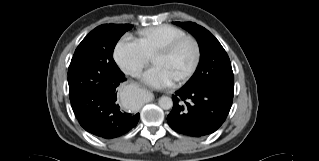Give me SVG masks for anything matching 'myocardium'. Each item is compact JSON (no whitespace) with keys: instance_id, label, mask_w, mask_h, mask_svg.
Instances as JSON below:
<instances>
[{"instance_id":"f54148a6","label":"myocardium","mask_w":319,"mask_h":161,"mask_svg":"<svg viewBox=\"0 0 319 161\" xmlns=\"http://www.w3.org/2000/svg\"><path fill=\"white\" fill-rule=\"evenodd\" d=\"M184 42H190L193 45L194 59L191 66L188 68V70L174 80L176 83L185 82L186 80L191 78L194 75V73L197 71L201 61V48L198 41L193 36L184 35L163 45L159 50H157V52L153 56V59L155 57H167L171 55Z\"/></svg>"}]
</instances>
